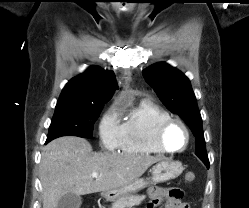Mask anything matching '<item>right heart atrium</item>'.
<instances>
[{
  "instance_id": "1",
  "label": "right heart atrium",
  "mask_w": 249,
  "mask_h": 208,
  "mask_svg": "<svg viewBox=\"0 0 249 208\" xmlns=\"http://www.w3.org/2000/svg\"><path fill=\"white\" fill-rule=\"evenodd\" d=\"M99 136L105 149L113 151L120 147L121 124L119 110L116 106L110 107L103 114L99 123Z\"/></svg>"
}]
</instances>
